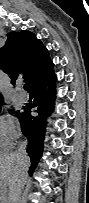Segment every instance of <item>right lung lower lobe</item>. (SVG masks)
Masks as SVG:
<instances>
[{
  "label": "right lung lower lobe",
  "mask_w": 89,
  "mask_h": 203,
  "mask_svg": "<svg viewBox=\"0 0 89 203\" xmlns=\"http://www.w3.org/2000/svg\"><path fill=\"white\" fill-rule=\"evenodd\" d=\"M56 76L53 67L40 75L29 87L34 92L35 98L31 105L24 107V112L20 117L21 130L28 139L27 152L31 158L32 166L29 174L32 175L39 162L42 151L46 126V118L53 110L56 98ZM31 109L37 113L31 115Z\"/></svg>",
  "instance_id": "right-lung-lower-lobe-1"
}]
</instances>
